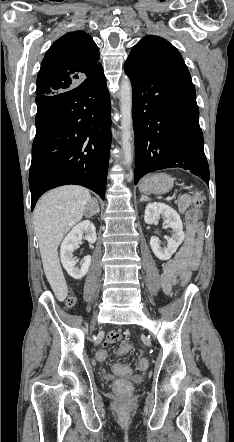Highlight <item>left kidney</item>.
<instances>
[{
    "label": "left kidney",
    "instance_id": "obj_1",
    "mask_svg": "<svg viewBox=\"0 0 234 442\" xmlns=\"http://www.w3.org/2000/svg\"><path fill=\"white\" fill-rule=\"evenodd\" d=\"M160 216L165 218L166 224L173 230V235L168 239L167 247L162 248L159 244V239L152 236L150 245L153 253L160 260H169L176 252L177 248L183 242L185 234L183 232V224L179 214L170 206L153 202L149 203L145 209L144 220L147 224L157 222Z\"/></svg>",
    "mask_w": 234,
    "mask_h": 442
}]
</instances>
